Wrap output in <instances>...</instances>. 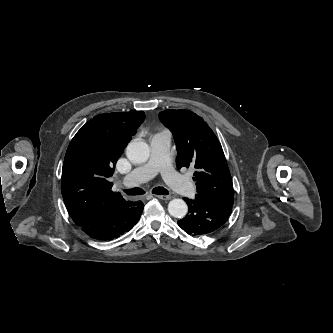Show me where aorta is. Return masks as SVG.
<instances>
[{"mask_svg": "<svg viewBox=\"0 0 333 333\" xmlns=\"http://www.w3.org/2000/svg\"><path fill=\"white\" fill-rule=\"evenodd\" d=\"M150 149L146 142L140 140L131 141L126 148L127 158L133 163H143L149 158ZM188 207L182 199H172L168 204V212L176 218L184 217Z\"/></svg>", "mask_w": 333, "mask_h": 333, "instance_id": "obj_1", "label": "aorta"}]
</instances>
